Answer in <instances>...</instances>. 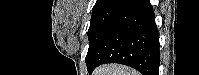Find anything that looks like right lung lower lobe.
<instances>
[{
  "mask_svg": "<svg viewBox=\"0 0 199 75\" xmlns=\"http://www.w3.org/2000/svg\"><path fill=\"white\" fill-rule=\"evenodd\" d=\"M159 31L150 0H128L107 27L94 49L87 69L104 63H121L142 75H158Z\"/></svg>",
  "mask_w": 199,
  "mask_h": 75,
  "instance_id": "obj_1",
  "label": "right lung lower lobe"
}]
</instances>
